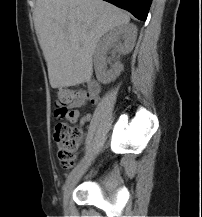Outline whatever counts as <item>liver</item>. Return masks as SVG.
<instances>
[{
  "instance_id": "obj_1",
  "label": "liver",
  "mask_w": 202,
  "mask_h": 217,
  "mask_svg": "<svg viewBox=\"0 0 202 217\" xmlns=\"http://www.w3.org/2000/svg\"><path fill=\"white\" fill-rule=\"evenodd\" d=\"M129 21L126 12L103 0H37L34 24L51 87L90 81L98 41Z\"/></svg>"
}]
</instances>
